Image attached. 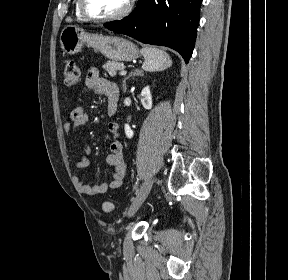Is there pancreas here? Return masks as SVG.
Here are the masks:
<instances>
[{
  "label": "pancreas",
  "mask_w": 288,
  "mask_h": 280,
  "mask_svg": "<svg viewBox=\"0 0 288 280\" xmlns=\"http://www.w3.org/2000/svg\"><path fill=\"white\" fill-rule=\"evenodd\" d=\"M103 68L107 71V73L110 76H115L116 75V71L120 70L122 68H124V64L123 63H118V62H114V61H107L104 65Z\"/></svg>",
  "instance_id": "1"
}]
</instances>
